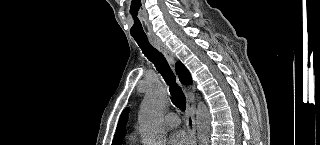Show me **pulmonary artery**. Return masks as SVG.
Returning a JSON list of instances; mask_svg holds the SVG:
<instances>
[{
	"label": "pulmonary artery",
	"mask_w": 320,
	"mask_h": 145,
	"mask_svg": "<svg viewBox=\"0 0 320 145\" xmlns=\"http://www.w3.org/2000/svg\"><path fill=\"white\" fill-rule=\"evenodd\" d=\"M163 122L166 127L174 128L180 124V118L175 113H168L164 116Z\"/></svg>",
	"instance_id": "obj_1"
}]
</instances>
